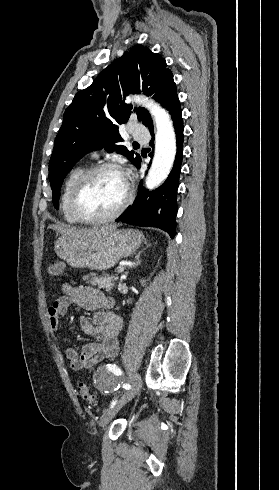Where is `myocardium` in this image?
I'll list each match as a JSON object with an SVG mask.
<instances>
[{"label": "myocardium", "instance_id": "f54148a6", "mask_svg": "<svg viewBox=\"0 0 279 490\" xmlns=\"http://www.w3.org/2000/svg\"><path fill=\"white\" fill-rule=\"evenodd\" d=\"M104 171H114L121 174L124 178L126 196L122 203L113 212L102 216H88L82 209V198L91 180L99 173ZM133 200V190L127 180L126 171L123 167L113 163H101L85 170L79 178L72 198V207L78 219L84 223H102L116 219L128 208Z\"/></svg>", "mask_w": 279, "mask_h": 490}]
</instances>
